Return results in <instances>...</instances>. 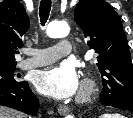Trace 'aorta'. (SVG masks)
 I'll return each mask as SVG.
<instances>
[{"mask_svg": "<svg viewBox=\"0 0 133 118\" xmlns=\"http://www.w3.org/2000/svg\"><path fill=\"white\" fill-rule=\"evenodd\" d=\"M69 26L66 23L54 21L49 23L46 33L50 38H63L69 34ZM66 118H74L73 115H67Z\"/></svg>", "mask_w": 133, "mask_h": 118, "instance_id": "aorta-1", "label": "aorta"}]
</instances>
